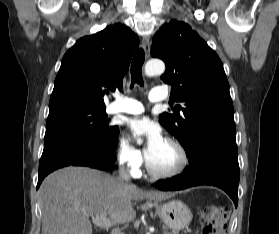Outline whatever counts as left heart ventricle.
I'll use <instances>...</instances> for the list:
<instances>
[{
    "instance_id": "obj_1",
    "label": "left heart ventricle",
    "mask_w": 279,
    "mask_h": 234,
    "mask_svg": "<svg viewBox=\"0 0 279 234\" xmlns=\"http://www.w3.org/2000/svg\"><path fill=\"white\" fill-rule=\"evenodd\" d=\"M151 166L161 172L170 171L179 163V154L176 148L163 141L152 153L147 155Z\"/></svg>"
}]
</instances>
